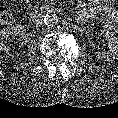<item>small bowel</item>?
Returning <instances> with one entry per match:
<instances>
[{
    "label": "small bowel",
    "mask_w": 118,
    "mask_h": 118,
    "mask_svg": "<svg viewBox=\"0 0 118 118\" xmlns=\"http://www.w3.org/2000/svg\"><path fill=\"white\" fill-rule=\"evenodd\" d=\"M92 4L94 9L104 10L109 21L112 22V28L118 33V9L112 7V5L106 4L102 0H93Z\"/></svg>",
    "instance_id": "obj_1"
}]
</instances>
